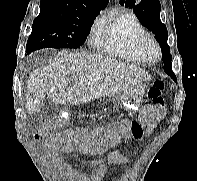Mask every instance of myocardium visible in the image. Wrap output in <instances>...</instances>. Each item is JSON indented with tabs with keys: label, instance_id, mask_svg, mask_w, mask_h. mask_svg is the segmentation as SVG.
<instances>
[{
	"label": "myocardium",
	"instance_id": "1",
	"mask_svg": "<svg viewBox=\"0 0 197 181\" xmlns=\"http://www.w3.org/2000/svg\"><path fill=\"white\" fill-rule=\"evenodd\" d=\"M137 48L141 56L146 62L154 63L161 56V49L156 39L148 34H144L137 42ZM151 50L154 51V56L151 54Z\"/></svg>",
	"mask_w": 197,
	"mask_h": 181
}]
</instances>
